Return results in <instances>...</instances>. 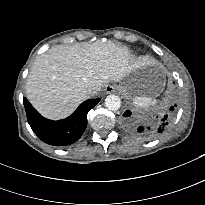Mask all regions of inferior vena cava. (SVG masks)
<instances>
[{"instance_id":"inferior-vena-cava-1","label":"inferior vena cava","mask_w":205,"mask_h":205,"mask_svg":"<svg viewBox=\"0 0 205 205\" xmlns=\"http://www.w3.org/2000/svg\"><path fill=\"white\" fill-rule=\"evenodd\" d=\"M88 92H89V93H91V92H92V90H91V89H88Z\"/></svg>"}]
</instances>
